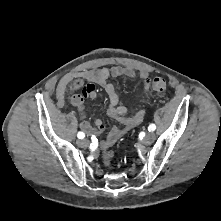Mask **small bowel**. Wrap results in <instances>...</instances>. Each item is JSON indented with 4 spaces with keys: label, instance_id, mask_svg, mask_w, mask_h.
<instances>
[{
    "label": "small bowel",
    "instance_id": "1",
    "mask_svg": "<svg viewBox=\"0 0 221 221\" xmlns=\"http://www.w3.org/2000/svg\"><path fill=\"white\" fill-rule=\"evenodd\" d=\"M126 76L129 78H135L136 73L130 67L114 66V67H102L99 69L85 70L76 74H69L64 76L57 88V103L62 107L65 102V98L68 92L69 84L77 79L83 78L87 83L82 87L83 95L75 94L71 97V104L77 109L80 117V128L90 135H100L105 127L101 119H97L92 126L85 117L84 97L94 99L97 96L96 88L93 84L101 86L108 97V115L116 121L123 124V127H113L104 141L103 147H110L115 144L123 135H125L131 128L140 124L145 117V110L140 109L133 114H128L126 106L120 102L119 95L115 86L108 82L109 78H116ZM140 78L143 81V90L148 93L150 87V78L147 72L142 71Z\"/></svg>",
    "mask_w": 221,
    "mask_h": 221
}]
</instances>
